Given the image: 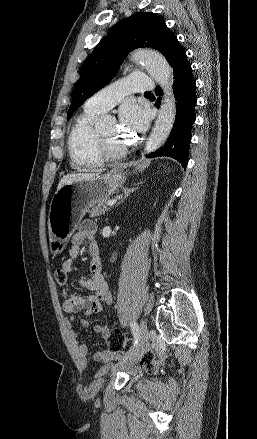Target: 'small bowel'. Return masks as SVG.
Wrapping results in <instances>:
<instances>
[{
    "label": "small bowel",
    "instance_id": "c3829d8e",
    "mask_svg": "<svg viewBox=\"0 0 257 439\" xmlns=\"http://www.w3.org/2000/svg\"><path fill=\"white\" fill-rule=\"evenodd\" d=\"M96 232V224L93 221H83L78 231L71 238V247L69 249V258L62 264V269L70 273L74 268V260L78 256L81 246L84 243H88V250L91 255L90 260V273L89 279H82L81 285L92 291L89 296H82L78 294H70L63 290L61 293L64 297L63 309L65 312L70 313V321L75 320V314L83 312L85 316H89L93 313H100L112 302V296L109 290L108 283L102 272V262L99 257V245L94 239ZM83 326H87L88 322L85 319L81 320ZM109 328L104 324H97L94 326V332L106 338L109 333ZM70 337L75 341L77 345L78 358L83 368L87 367L88 363V348L85 343L79 338L78 334L74 330H70ZM93 359L97 362L104 364V371H108L112 368V362L120 359V355L115 352H111L108 349L98 350L93 354ZM128 371L133 374L135 369L131 368Z\"/></svg>",
    "mask_w": 257,
    "mask_h": 439
}]
</instances>
